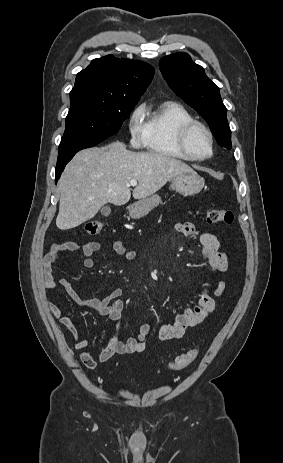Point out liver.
I'll return each mask as SVG.
<instances>
[{"label":"liver","mask_w":283,"mask_h":463,"mask_svg":"<svg viewBox=\"0 0 283 463\" xmlns=\"http://www.w3.org/2000/svg\"><path fill=\"white\" fill-rule=\"evenodd\" d=\"M194 172L186 163L154 152H132L121 142L79 151L62 173L59 213L60 230L75 228L93 218L106 203L121 206L131 198L153 195L174 177Z\"/></svg>","instance_id":"obj_1"}]
</instances>
